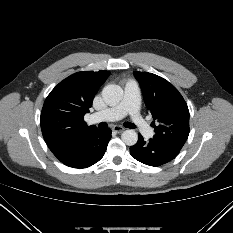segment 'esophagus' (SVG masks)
Returning <instances> with one entry per match:
<instances>
[{
	"label": "esophagus",
	"mask_w": 233,
	"mask_h": 233,
	"mask_svg": "<svg viewBox=\"0 0 233 233\" xmlns=\"http://www.w3.org/2000/svg\"><path fill=\"white\" fill-rule=\"evenodd\" d=\"M112 130H113L114 132H116V133H121V132H123L125 129H124L123 127H121V126L116 125V126H114V127L112 128Z\"/></svg>",
	"instance_id": "esophagus-1"
}]
</instances>
